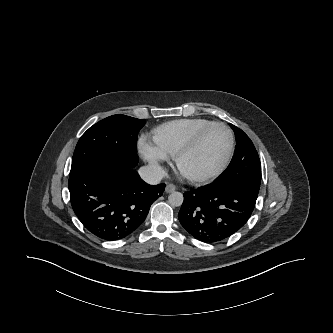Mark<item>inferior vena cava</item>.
I'll list each match as a JSON object with an SVG mask.
<instances>
[{"label":"inferior vena cava","instance_id":"602c4592","mask_svg":"<svg viewBox=\"0 0 333 333\" xmlns=\"http://www.w3.org/2000/svg\"><path fill=\"white\" fill-rule=\"evenodd\" d=\"M140 177L148 184H158L164 177L165 171L159 165H147L139 169Z\"/></svg>","mask_w":333,"mask_h":333}]
</instances>
